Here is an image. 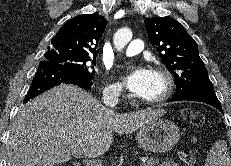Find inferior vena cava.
Returning <instances> with one entry per match:
<instances>
[{
  "instance_id": "602c4592",
  "label": "inferior vena cava",
  "mask_w": 231,
  "mask_h": 166,
  "mask_svg": "<svg viewBox=\"0 0 231 166\" xmlns=\"http://www.w3.org/2000/svg\"><path fill=\"white\" fill-rule=\"evenodd\" d=\"M103 103L106 105V106H109V107H115L118 103V100H119V93H113V94H109V95H104L103 98Z\"/></svg>"
}]
</instances>
